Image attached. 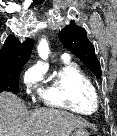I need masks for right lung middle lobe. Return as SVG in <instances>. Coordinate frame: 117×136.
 Listing matches in <instances>:
<instances>
[{
	"label": "right lung middle lobe",
	"mask_w": 117,
	"mask_h": 136,
	"mask_svg": "<svg viewBox=\"0 0 117 136\" xmlns=\"http://www.w3.org/2000/svg\"><path fill=\"white\" fill-rule=\"evenodd\" d=\"M21 65L0 67V93L10 91L17 93Z\"/></svg>",
	"instance_id": "obj_1"
}]
</instances>
